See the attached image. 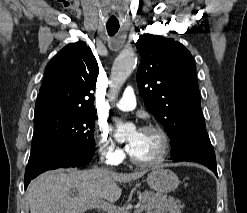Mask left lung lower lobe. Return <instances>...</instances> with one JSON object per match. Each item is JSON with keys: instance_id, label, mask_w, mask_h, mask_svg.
Listing matches in <instances>:
<instances>
[{"instance_id": "obj_1", "label": "left lung lower lobe", "mask_w": 247, "mask_h": 213, "mask_svg": "<svg viewBox=\"0 0 247 213\" xmlns=\"http://www.w3.org/2000/svg\"><path fill=\"white\" fill-rule=\"evenodd\" d=\"M171 154L174 162H197L205 165L217 175L216 157L207 131L191 133L185 143Z\"/></svg>"}]
</instances>
